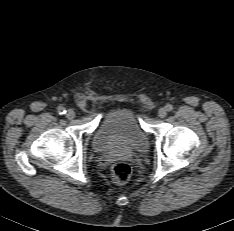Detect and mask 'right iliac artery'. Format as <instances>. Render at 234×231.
Returning a JSON list of instances; mask_svg holds the SVG:
<instances>
[{
	"mask_svg": "<svg viewBox=\"0 0 234 231\" xmlns=\"http://www.w3.org/2000/svg\"><path fill=\"white\" fill-rule=\"evenodd\" d=\"M57 110H58V113H59L60 115H63V114L66 113V110H65L64 107H59Z\"/></svg>",
	"mask_w": 234,
	"mask_h": 231,
	"instance_id": "obj_1",
	"label": "right iliac artery"
}]
</instances>
